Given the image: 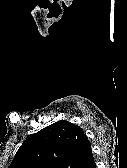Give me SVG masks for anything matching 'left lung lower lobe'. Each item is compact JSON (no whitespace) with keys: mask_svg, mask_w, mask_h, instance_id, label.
<instances>
[{"mask_svg":"<svg viewBox=\"0 0 127 168\" xmlns=\"http://www.w3.org/2000/svg\"><path fill=\"white\" fill-rule=\"evenodd\" d=\"M77 168H96L90 142L85 146Z\"/></svg>","mask_w":127,"mask_h":168,"instance_id":"0a47b994","label":"left lung lower lobe"}]
</instances>
